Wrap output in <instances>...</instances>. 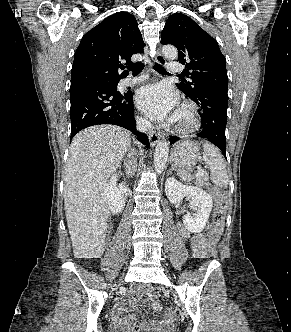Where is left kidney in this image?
Masks as SVG:
<instances>
[{
    "label": "left kidney",
    "instance_id": "1",
    "mask_svg": "<svg viewBox=\"0 0 291 332\" xmlns=\"http://www.w3.org/2000/svg\"><path fill=\"white\" fill-rule=\"evenodd\" d=\"M165 192L172 204L181 202L184 197L191 199L192 208L196 213L185 215L183 224L191 233L202 232L212 210L213 201L211 196L203 189L184 185L173 177L166 180Z\"/></svg>",
    "mask_w": 291,
    "mask_h": 332
}]
</instances>
